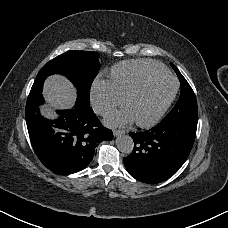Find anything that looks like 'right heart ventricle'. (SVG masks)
<instances>
[{
	"label": "right heart ventricle",
	"mask_w": 228,
	"mask_h": 228,
	"mask_svg": "<svg viewBox=\"0 0 228 228\" xmlns=\"http://www.w3.org/2000/svg\"><path fill=\"white\" fill-rule=\"evenodd\" d=\"M167 72L164 66L156 62H122L112 69L111 82L120 96L126 98L146 78Z\"/></svg>",
	"instance_id": "e07e8e85"
}]
</instances>
